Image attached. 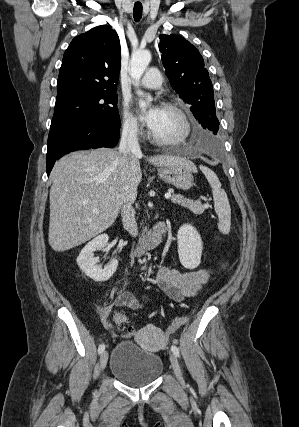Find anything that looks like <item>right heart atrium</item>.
<instances>
[{
    "mask_svg": "<svg viewBox=\"0 0 299 427\" xmlns=\"http://www.w3.org/2000/svg\"><path fill=\"white\" fill-rule=\"evenodd\" d=\"M122 132L129 138H138L141 134L139 123L126 106H124L122 113Z\"/></svg>",
    "mask_w": 299,
    "mask_h": 427,
    "instance_id": "d8ad5b80",
    "label": "right heart atrium"
}]
</instances>
